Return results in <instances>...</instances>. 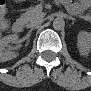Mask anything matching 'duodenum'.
I'll return each mask as SVG.
<instances>
[{
  "label": "duodenum",
  "mask_w": 91,
  "mask_h": 91,
  "mask_svg": "<svg viewBox=\"0 0 91 91\" xmlns=\"http://www.w3.org/2000/svg\"><path fill=\"white\" fill-rule=\"evenodd\" d=\"M24 30V21L22 19H17L12 24V31L14 33H21Z\"/></svg>",
  "instance_id": "obj_1"
}]
</instances>
